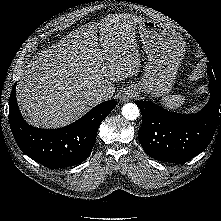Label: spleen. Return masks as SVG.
I'll return each mask as SVG.
<instances>
[{
    "label": "spleen",
    "mask_w": 221,
    "mask_h": 221,
    "mask_svg": "<svg viewBox=\"0 0 221 221\" xmlns=\"http://www.w3.org/2000/svg\"><path fill=\"white\" fill-rule=\"evenodd\" d=\"M184 100L185 98L182 95H171L162 99L161 104L170 110H180Z\"/></svg>",
    "instance_id": "spleen-1"
}]
</instances>
